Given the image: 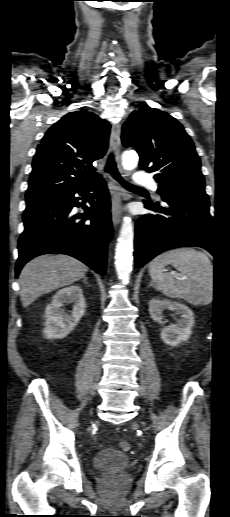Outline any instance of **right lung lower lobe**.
I'll use <instances>...</instances> for the list:
<instances>
[{
    "label": "right lung lower lobe",
    "mask_w": 230,
    "mask_h": 517,
    "mask_svg": "<svg viewBox=\"0 0 230 517\" xmlns=\"http://www.w3.org/2000/svg\"><path fill=\"white\" fill-rule=\"evenodd\" d=\"M76 193L83 196L81 199L88 197L91 206H84L81 215L72 216V208L81 205ZM23 221L16 277L32 258L54 253L70 255L97 273H105L113 230L110 196L104 181L94 180L72 190L26 199Z\"/></svg>",
    "instance_id": "1"
}]
</instances>
